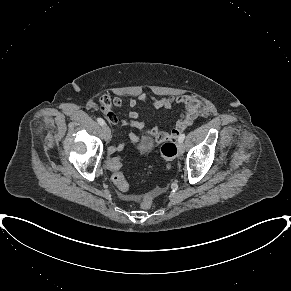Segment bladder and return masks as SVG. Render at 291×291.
<instances>
[{
  "label": "bladder",
  "instance_id": "obj_1",
  "mask_svg": "<svg viewBox=\"0 0 291 291\" xmlns=\"http://www.w3.org/2000/svg\"><path fill=\"white\" fill-rule=\"evenodd\" d=\"M154 148V141L150 137H143L137 144L136 149L140 154H147Z\"/></svg>",
  "mask_w": 291,
  "mask_h": 291
}]
</instances>
